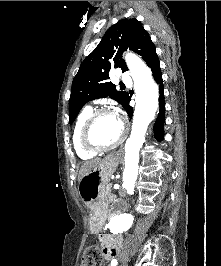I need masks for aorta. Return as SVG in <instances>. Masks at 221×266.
<instances>
[{
    "instance_id": "aorta-1",
    "label": "aorta",
    "mask_w": 221,
    "mask_h": 266,
    "mask_svg": "<svg viewBox=\"0 0 221 266\" xmlns=\"http://www.w3.org/2000/svg\"><path fill=\"white\" fill-rule=\"evenodd\" d=\"M125 61L134 81L136 106L131 134L125 143L123 188L128 194H133L138 177L139 152L145 141L147 128L155 118L159 106V88L151 71L138 56L128 53ZM132 221L133 217L130 214L122 213L114 216L108 227L112 233L124 232L130 228Z\"/></svg>"
}]
</instances>
